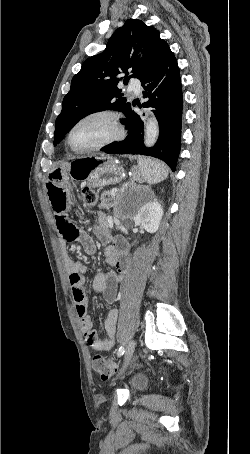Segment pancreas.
<instances>
[{"label": "pancreas", "mask_w": 250, "mask_h": 454, "mask_svg": "<svg viewBox=\"0 0 250 454\" xmlns=\"http://www.w3.org/2000/svg\"><path fill=\"white\" fill-rule=\"evenodd\" d=\"M107 197H112L114 198L113 202L111 200H108ZM117 193H115L114 190H108L104 191L103 194L101 195V202L99 204L100 209H109L112 206H114L117 202ZM104 217V215H102Z\"/></svg>", "instance_id": "pancreas-1"}]
</instances>
